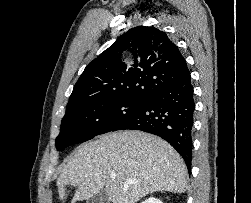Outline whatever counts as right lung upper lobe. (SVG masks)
I'll return each mask as SVG.
<instances>
[{
    "instance_id": "obj_1",
    "label": "right lung upper lobe",
    "mask_w": 251,
    "mask_h": 203,
    "mask_svg": "<svg viewBox=\"0 0 251 203\" xmlns=\"http://www.w3.org/2000/svg\"><path fill=\"white\" fill-rule=\"evenodd\" d=\"M124 50L130 51L134 58L131 67L122 61ZM188 71L185 59L166 33L154 27L138 26L128 30L86 66L68 105L107 99L145 101Z\"/></svg>"
}]
</instances>
